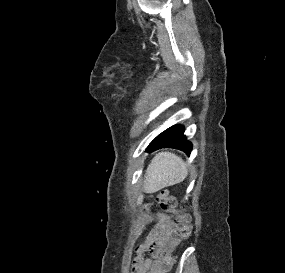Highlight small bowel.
<instances>
[{
  "label": "small bowel",
  "mask_w": 285,
  "mask_h": 273,
  "mask_svg": "<svg viewBox=\"0 0 285 273\" xmlns=\"http://www.w3.org/2000/svg\"><path fill=\"white\" fill-rule=\"evenodd\" d=\"M178 243L176 223L160 214L155 227L136 248L132 273H166L172 266L171 252Z\"/></svg>",
  "instance_id": "c3829d8e"
}]
</instances>
